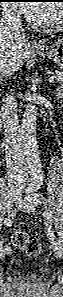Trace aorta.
I'll list each match as a JSON object with an SVG mask.
<instances>
[{"instance_id": "aorta-1", "label": "aorta", "mask_w": 63, "mask_h": 297, "mask_svg": "<svg viewBox=\"0 0 63 297\" xmlns=\"http://www.w3.org/2000/svg\"><path fill=\"white\" fill-rule=\"evenodd\" d=\"M37 110L34 104L28 103L25 107L21 123V137L23 153L30 167H39V154L36 137Z\"/></svg>"}]
</instances>
